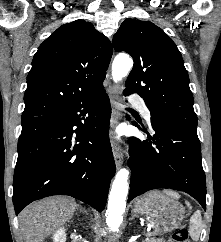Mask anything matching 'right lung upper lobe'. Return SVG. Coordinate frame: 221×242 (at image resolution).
<instances>
[{
    "label": "right lung upper lobe",
    "instance_id": "right-lung-upper-lobe-1",
    "mask_svg": "<svg viewBox=\"0 0 221 242\" xmlns=\"http://www.w3.org/2000/svg\"><path fill=\"white\" fill-rule=\"evenodd\" d=\"M112 44L90 22L62 25L38 48L27 76L22 121L51 114L103 87Z\"/></svg>",
    "mask_w": 221,
    "mask_h": 242
}]
</instances>
